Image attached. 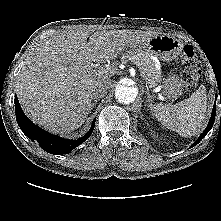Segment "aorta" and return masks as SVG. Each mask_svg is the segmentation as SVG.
I'll return each instance as SVG.
<instances>
[{
	"instance_id": "1",
	"label": "aorta",
	"mask_w": 221,
	"mask_h": 221,
	"mask_svg": "<svg viewBox=\"0 0 221 221\" xmlns=\"http://www.w3.org/2000/svg\"><path fill=\"white\" fill-rule=\"evenodd\" d=\"M138 95V89L134 86L118 84L115 89V98L119 103L130 104Z\"/></svg>"
}]
</instances>
